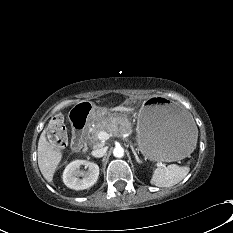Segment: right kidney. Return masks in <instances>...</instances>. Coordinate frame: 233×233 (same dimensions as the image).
I'll return each mask as SVG.
<instances>
[{
  "label": "right kidney",
  "instance_id": "right-kidney-1",
  "mask_svg": "<svg viewBox=\"0 0 233 233\" xmlns=\"http://www.w3.org/2000/svg\"><path fill=\"white\" fill-rule=\"evenodd\" d=\"M81 165L88 167V170L81 171ZM99 176V166L94 162L75 160L67 165L63 172L64 184L74 190H83L94 185ZM82 177V178H80Z\"/></svg>",
  "mask_w": 233,
  "mask_h": 233
}]
</instances>
